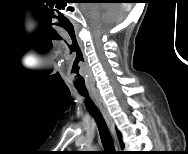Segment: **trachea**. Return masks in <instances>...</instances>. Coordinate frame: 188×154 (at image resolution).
<instances>
[{
  "label": "trachea",
  "instance_id": "3493384b",
  "mask_svg": "<svg viewBox=\"0 0 188 154\" xmlns=\"http://www.w3.org/2000/svg\"><path fill=\"white\" fill-rule=\"evenodd\" d=\"M78 92L83 97H85V105L97 123L101 141L104 147V151H103L104 154H116V150H115L114 143L111 137V133L108 129V126L101 112L99 111L97 106L94 104V102L91 100V98L89 97L88 91L79 90Z\"/></svg>",
  "mask_w": 188,
  "mask_h": 154
}]
</instances>
